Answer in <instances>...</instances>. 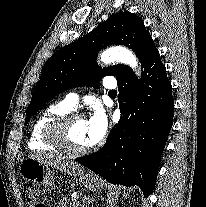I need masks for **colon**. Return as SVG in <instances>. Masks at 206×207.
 Segmentation results:
<instances>
[{"mask_svg":"<svg viewBox=\"0 0 206 207\" xmlns=\"http://www.w3.org/2000/svg\"><path fill=\"white\" fill-rule=\"evenodd\" d=\"M26 200L32 207H45L41 193L33 185H27L25 189Z\"/></svg>","mask_w":206,"mask_h":207,"instance_id":"colon-1","label":"colon"}]
</instances>
